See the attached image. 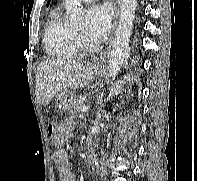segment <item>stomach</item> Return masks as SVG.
<instances>
[{
  "instance_id": "obj_1",
  "label": "stomach",
  "mask_w": 197,
  "mask_h": 181,
  "mask_svg": "<svg viewBox=\"0 0 197 181\" xmlns=\"http://www.w3.org/2000/svg\"><path fill=\"white\" fill-rule=\"evenodd\" d=\"M96 75H101L103 73L102 69H95ZM75 95L74 92L70 90H64L57 93L55 96L56 106L61 111H68L71 108L72 101Z\"/></svg>"
}]
</instances>
